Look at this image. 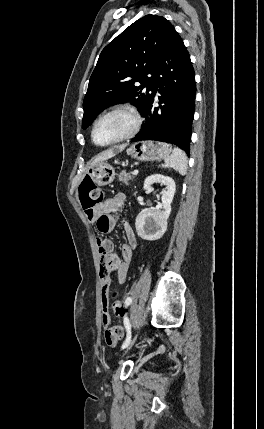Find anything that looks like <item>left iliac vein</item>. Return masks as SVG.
I'll return each instance as SVG.
<instances>
[{"instance_id":"left-iliac-vein-1","label":"left iliac vein","mask_w":264,"mask_h":429,"mask_svg":"<svg viewBox=\"0 0 264 429\" xmlns=\"http://www.w3.org/2000/svg\"><path fill=\"white\" fill-rule=\"evenodd\" d=\"M142 332L139 330L138 332H136L135 333V335H134V338H133V340L129 343V345L126 347V351L127 350H129L131 347H132V345H133V343L134 342H137L138 341V338H139V336H140V334H141ZM125 351V352H126Z\"/></svg>"}]
</instances>
